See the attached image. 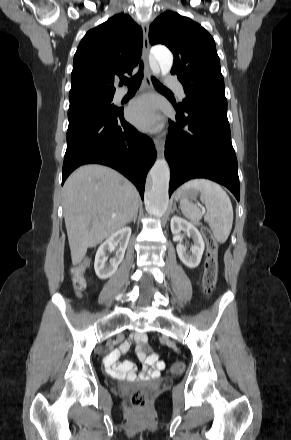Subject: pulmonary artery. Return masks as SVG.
<instances>
[{
  "mask_svg": "<svg viewBox=\"0 0 291 440\" xmlns=\"http://www.w3.org/2000/svg\"><path fill=\"white\" fill-rule=\"evenodd\" d=\"M167 80H168V83H169L170 87L176 91V93L178 94V96H179L181 99L185 98V92H184L183 87L180 85V83L177 82V81L175 80V78L172 77V76H169V77L167 78ZM126 92H127L126 89H120V90L117 92V98H118V99H122V98L125 96Z\"/></svg>",
  "mask_w": 291,
  "mask_h": 440,
  "instance_id": "pulmonary-artery-1",
  "label": "pulmonary artery"
}]
</instances>
